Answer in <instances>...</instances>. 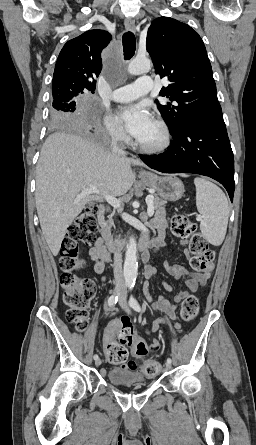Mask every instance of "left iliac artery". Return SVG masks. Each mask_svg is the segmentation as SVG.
<instances>
[{
  "mask_svg": "<svg viewBox=\"0 0 256 445\" xmlns=\"http://www.w3.org/2000/svg\"><path fill=\"white\" fill-rule=\"evenodd\" d=\"M133 287H134L133 285L130 286V287H129L130 290H132ZM129 305H130L135 311H137V312H140V311H141V307H140L138 301L134 298L133 295H131L130 298H129ZM171 362H172L171 358H167V363H170V364H171Z\"/></svg>",
  "mask_w": 256,
  "mask_h": 445,
  "instance_id": "44dca946",
  "label": "left iliac artery"
}]
</instances>
